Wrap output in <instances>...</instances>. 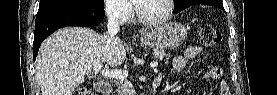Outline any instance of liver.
I'll return each mask as SVG.
<instances>
[{
	"instance_id": "6515ba94",
	"label": "liver",
	"mask_w": 277,
	"mask_h": 95,
	"mask_svg": "<svg viewBox=\"0 0 277 95\" xmlns=\"http://www.w3.org/2000/svg\"><path fill=\"white\" fill-rule=\"evenodd\" d=\"M124 45L108 34L84 27H65L46 38L36 60V79L42 95H73L96 64L121 65Z\"/></svg>"
}]
</instances>
